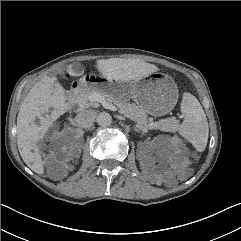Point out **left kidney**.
Here are the masks:
<instances>
[{
  "mask_svg": "<svg viewBox=\"0 0 241 241\" xmlns=\"http://www.w3.org/2000/svg\"><path fill=\"white\" fill-rule=\"evenodd\" d=\"M169 146H166L165 143L159 144L157 142H151L148 146H146V152H164L165 150H169Z\"/></svg>",
  "mask_w": 241,
  "mask_h": 241,
  "instance_id": "5707ae66",
  "label": "left kidney"
}]
</instances>
